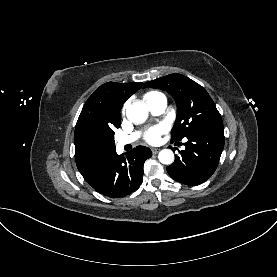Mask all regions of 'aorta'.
Returning a JSON list of instances; mask_svg holds the SVG:
<instances>
[{"label":"aorta","mask_w":277,"mask_h":277,"mask_svg":"<svg viewBox=\"0 0 277 277\" xmlns=\"http://www.w3.org/2000/svg\"><path fill=\"white\" fill-rule=\"evenodd\" d=\"M126 116L133 123H143L148 117V110L141 102H135L127 107ZM158 159L162 164L169 165L174 161V154L170 149H163Z\"/></svg>","instance_id":"762f6f07"}]
</instances>
